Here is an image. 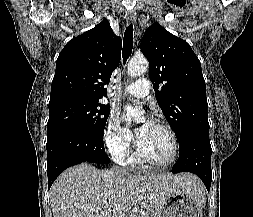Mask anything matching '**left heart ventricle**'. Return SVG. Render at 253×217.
<instances>
[{"instance_id":"b2bd125f","label":"left heart ventricle","mask_w":253,"mask_h":217,"mask_svg":"<svg viewBox=\"0 0 253 217\" xmlns=\"http://www.w3.org/2000/svg\"><path fill=\"white\" fill-rule=\"evenodd\" d=\"M138 139L145 156L156 163H164L172 154V143L168 133L153 125L146 128L141 125L138 130Z\"/></svg>"}]
</instances>
